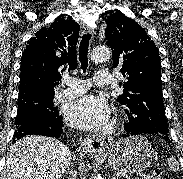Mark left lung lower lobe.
<instances>
[{"instance_id": "obj_1", "label": "left lung lower lobe", "mask_w": 183, "mask_h": 179, "mask_svg": "<svg viewBox=\"0 0 183 179\" xmlns=\"http://www.w3.org/2000/svg\"><path fill=\"white\" fill-rule=\"evenodd\" d=\"M125 131L127 132L126 134L122 135V137H126V136H129V135H136V134H145L143 132H137V131H134L133 129L129 128L127 125L125 126ZM159 137H162L164 138L165 140H168V136L167 135H157Z\"/></svg>"}]
</instances>
